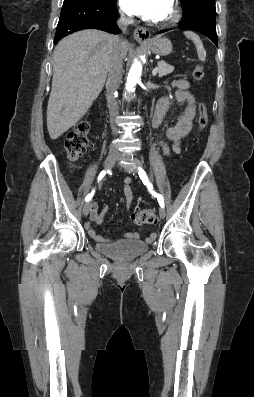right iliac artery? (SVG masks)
Wrapping results in <instances>:
<instances>
[{"instance_id": "82829eb1", "label": "right iliac artery", "mask_w": 254, "mask_h": 397, "mask_svg": "<svg viewBox=\"0 0 254 397\" xmlns=\"http://www.w3.org/2000/svg\"><path fill=\"white\" fill-rule=\"evenodd\" d=\"M107 172H109V170L108 171H101L100 172V174H99V176H98V181H101L102 179H103V177L106 175V173ZM94 190L93 191H91V193H89L87 196H86V198H85V201L86 202H89L91 199H92V197H93V195H94Z\"/></svg>"}]
</instances>
